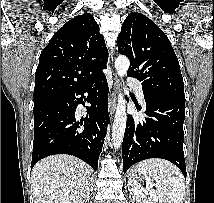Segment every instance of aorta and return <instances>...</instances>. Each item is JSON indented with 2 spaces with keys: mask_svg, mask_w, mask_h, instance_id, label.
Returning <instances> with one entry per match:
<instances>
[{
  "mask_svg": "<svg viewBox=\"0 0 214 203\" xmlns=\"http://www.w3.org/2000/svg\"><path fill=\"white\" fill-rule=\"evenodd\" d=\"M130 66L129 59L120 55L115 60V69L120 78L124 77L127 74V71ZM127 123V114H126V101L123 94L118 95V104L116 107L115 118L112 128V142L115 149H118L123 141L125 128Z\"/></svg>",
  "mask_w": 214,
  "mask_h": 203,
  "instance_id": "1",
  "label": "aorta"
}]
</instances>
